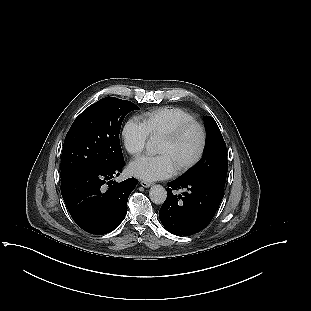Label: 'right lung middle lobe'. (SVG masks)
I'll return each instance as SVG.
<instances>
[{
    "label": "right lung middle lobe",
    "mask_w": 311,
    "mask_h": 311,
    "mask_svg": "<svg viewBox=\"0 0 311 311\" xmlns=\"http://www.w3.org/2000/svg\"><path fill=\"white\" fill-rule=\"evenodd\" d=\"M139 108L130 101L106 97L86 108L69 129L61 157V179L90 167L124 161L119 133L125 116Z\"/></svg>",
    "instance_id": "dd1d6c3e"
}]
</instances>
